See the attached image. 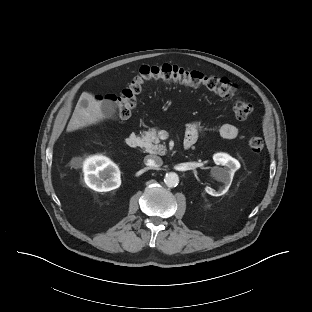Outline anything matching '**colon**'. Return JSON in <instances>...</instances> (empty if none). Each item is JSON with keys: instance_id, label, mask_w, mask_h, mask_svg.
Listing matches in <instances>:
<instances>
[{"instance_id": "obj_1", "label": "colon", "mask_w": 312, "mask_h": 312, "mask_svg": "<svg viewBox=\"0 0 312 312\" xmlns=\"http://www.w3.org/2000/svg\"><path fill=\"white\" fill-rule=\"evenodd\" d=\"M178 82L192 86H203L220 97L230 99L234 96L237 86L226 77L206 75L197 70H190L174 64L143 65L130 84L117 95H109L105 99L114 107V116L124 119L131 115L137 106V98L148 81ZM102 101L103 98H99ZM252 106L246 100H237L232 105L236 120H246L251 114ZM248 147L252 152L262 151L264 142L261 137L248 139Z\"/></svg>"}]
</instances>
